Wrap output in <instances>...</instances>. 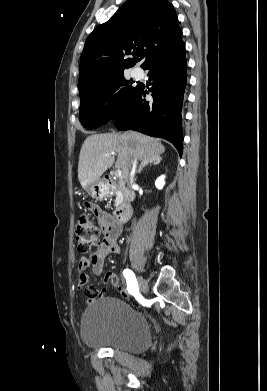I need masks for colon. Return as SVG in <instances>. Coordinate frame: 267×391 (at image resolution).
Segmentation results:
<instances>
[{"instance_id": "colon-1", "label": "colon", "mask_w": 267, "mask_h": 391, "mask_svg": "<svg viewBox=\"0 0 267 391\" xmlns=\"http://www.w3.org/2000/svg\"><path fill=\"white\" fill-rule=\"evenodd\" d=\"M75 236L78 252L82 255L94 254L101 246V229L92 221L88 215H81L75 226ZM111 282L125 296V288L119 284L116 277Z\"/></svg>"}]
</instances>
